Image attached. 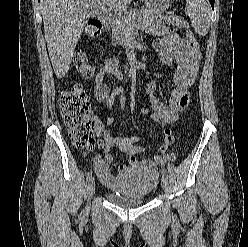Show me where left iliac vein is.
<instances>
[{
    "instance_id": "4c4485c4",
    "label": "left iliac vein",
    "mask_w": 248,
    "mask_h": 247,
    "mask_svg": "<svg viewBox=\"0 0 248 247\" xmlns=\"http://www.w3.org/2000/svg\"><path fill=\"white\" fill-rule=\"evenodd\" d=\"M161 185L164 191L167 193L169 190V179L167 176H162Z\"/></svg>"
}]
</instances>
